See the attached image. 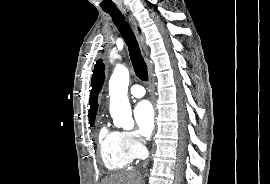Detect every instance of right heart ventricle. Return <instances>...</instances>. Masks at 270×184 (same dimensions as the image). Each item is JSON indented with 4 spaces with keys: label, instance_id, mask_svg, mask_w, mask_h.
<instances>
[{
    "label": "right heart ventricle",
    "instance_id": "e07e8e85",
    "mask_svg": "<svg viewBox=\"0 0 270 184\" xmlns=\"http://www.w3.org/2000/svg\"><path fill=\"white\" fill-rule=\"evenodd\" d=\"M102 161L109 170H120L129 166L134 157L127 150L122 134L102 126L98 135Z\"/></svg>",
    "mask_w": 270,
    "mask_h": 184
}]
</instances>
